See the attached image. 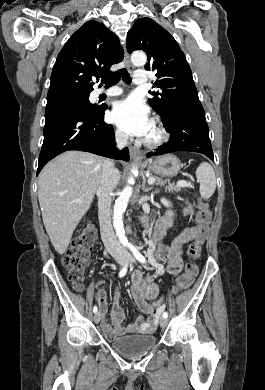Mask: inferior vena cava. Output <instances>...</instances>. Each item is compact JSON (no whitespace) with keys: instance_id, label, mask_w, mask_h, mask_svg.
Masks as SVG:
<instances>
[{"instance_id":"602c4592","label":"inferior vena cava","mask_w":265,"mask_h":390,"mask_svg":"<svg viewBox=\"0 0 265 390\" xmlns=\"http://www.w3.org/2000/svg\"><path fill=\"white\" fill-rule=\"evenodd\" d=\"M128 136L117 133V147L122 149L127 145ZM120 180L119 171L114 167V163L108 159L104 160L100 185L97 190L98 196V218L100 224L101 239L106 250L112 256H123L124 251L117 240L110 218V208L112 202V192Z\"/></svg>"}]
</instances>
